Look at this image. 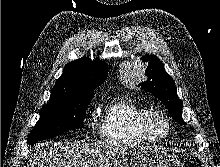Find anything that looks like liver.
Returning a JSON list of instances; mask_svg holds the SVG:
<instances>
[{"instance_id": "1", "label": "liver", "mask_w": 220, "mask_h": 167, "mask_svg": "<svg viewBox=\"0 0 220 167\" xmlns=\"http://www.w3.org/2000/svg\"><path fill=\"white\" fill-rule=\"evenodd\" d=\"M126 150V145L112 141L43 143L38 145L28 167H111Z\"/></svg>"}]
</instances>
